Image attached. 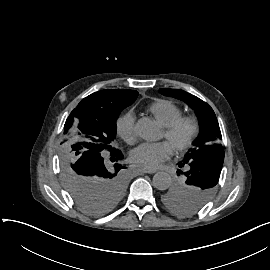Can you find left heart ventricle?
<instances>
[{"mask_svg": "<svg viewBox=\"0 0 270 270\" xmlns=\"http://www.w3.org/2000/svg\"><path fill=\"white\" fill-rule=\"evenodd\" d=\"M188 132H189V125L188 124L182 125L179 132H178L179 138L181 140H185L187 138ZM164 137H167V134L163 130L162 138H164Z\"/></svg>", "mask_w": 270, "mask_h": 270, "instance_id": "b2bd125f", "label": "left heart ventricle"}]
</instances>
